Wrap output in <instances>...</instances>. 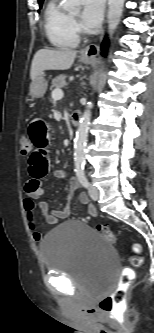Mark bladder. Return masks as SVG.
I'll return each mask as SVG.
<instances>
[{
	"mask_svg": "<svg viewBox=\"0 0 154 333\" xmlns=\"http://www.w3.org/2000/svg\"><path fill=\"white\" fill-rule=\"evenodd\" d=\"M44 268L70 277L84 288L109 290L115 280L117 254L95 229L68 221L48 232L40 246Z\"/></svg>",
	"mask_w": 154,
	"mask_h": 333,
	"instance_id": "bladder-1",
	"label": "bladder"
}]
</instances>
